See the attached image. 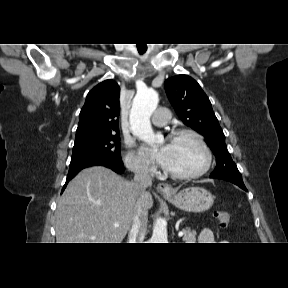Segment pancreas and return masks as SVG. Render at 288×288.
<instances>
[{
	"instance_id": "1",
	"label": "pancreas",
	"mask_w": 288,
	"mask_h": 288,
	"mask_svg": "<svg viewBox=\"0 0 288 288\" xmlns=\"http://www.w3.org/2000/svg\"><path fill=\"white\" fill-rule=\"evenodd\" d=\"M196 231L191 230L190 228H186L184 230V237L183 240L185 243H194L196 241Z\"/></svg>"
}]
</instances>
